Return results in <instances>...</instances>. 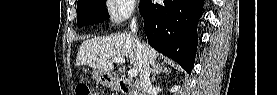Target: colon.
<instances>
[{"instance_id": "colon-1", "label": "colon", "mask_w": 277, "mask_h": 95, "mask_svg": "<svg viewBox=\"0 0 277 95\" xmlns=\"http://www.w3.org/2000/svg\"><path fill=\"white\" fill-rule=\"evenodd\" d=\"M78 95H91L93 94L92 87L88 83H81L77 86Z\"/></svg>"}]
</instances>
